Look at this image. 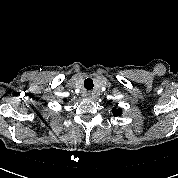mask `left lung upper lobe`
<instances>
[{"label":"left lung upper lobe","mask_w":178,"mask_h":178,"mask_svg":"<svg viewBox=\"0 0 178 178\" xmlns=\"http://www.w3.org/2000/svg\"><path fill=\"white\" fill-rule=\"evenodd\" d=\"M112 112H113V114H114L115 116H120V115H121V109H116V108H114V109L112 110Z\"/></svg>","instance_id":"1"}]
</instances>
